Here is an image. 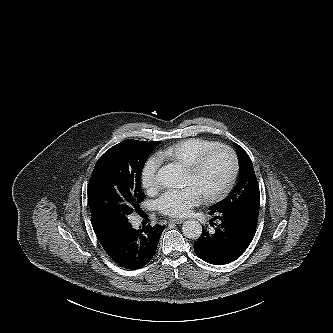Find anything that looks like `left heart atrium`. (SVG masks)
<instances>
[{
  "mask_svg": "<svg viewBox=\"0 0 333 333\" xmlns=\"http://www.w3.org/2000/svg\"><path fill=\"white\" fill-rule=\"evenodd\" d=\"M203 196L192 186L165 191L156 201L159 211L171 217H184L199 205Z\"/></svg>",
  "mask_w": 333,
  "mask_h": 333,
  "instance_id": "39dd6f15",
  "label": "left heart atrium"
}]
</instances>
